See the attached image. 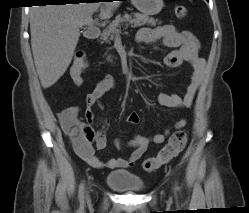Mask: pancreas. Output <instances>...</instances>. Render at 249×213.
Here are the masks:
<instances>
[{"label":"pancreas","mask_w":249,"mask_h":213,"mask_svg":"<svg viewBox=\"0 0 249 213\" xmlns=\"http://www.w3.org/2000/svg\"><path fill=\"white\" fill-rule=\"evenodd\" d=\"M133 19L131 18V16L127 13H124L123 16L118 15L116 16L115 20H113L106 29H104L102 31V33L100 34V38L101 40L105 41V42H109L110 40L114 39V36L116 34L120 33V26L121 24L125 23V22H129L132 27H141L144 26L146 24L151 25V26H155L156 23L158 22L157 20H155L154 18H150L148 15L145 14H141V13H133ZM161 22H159L160 24ZM109 61H111L110 57L107 58Z\"/></svg>","instance_id":"obj_1"}]
</instances>
